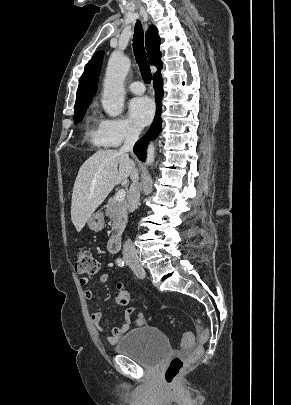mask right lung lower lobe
I'll return each instance as SVG.
<instances>
[{
	"mask_svg": "<svg viewBox=\"0 0 291 405\" xmlns=\"http://www.w3.org/2000/svg\"><path fill=\"white\" fill-rule=\"evenodd\" d=\"M153 80H154V88H155V100H156V115L154 118L153 123L151 124L150 129L147 131V133L139 140L137 143L134 145V153L137 155V157L141 160L144 161L146 159V145L150 140L155 139L159 133L161 132V124H162V119H161V100H162V95H163V79L160 75L154 74L153 75Z\"/></svg>",
	"mask_w": 291,
	"mask_h": 405,
	"instance_id": "98d812e1",
	"label": "right lung lower lobe"
}]
</instances>
